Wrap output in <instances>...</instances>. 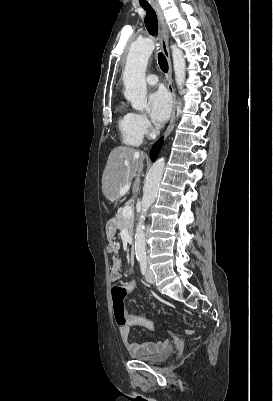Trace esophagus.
<instances>
[{
	"mask_svg": "<svg viewBox=\"0 0 273 401\" xmlns=\"http://www.w3.org/2000/svg\"><path fill=\"white\" fill-rule=\"evenodd\" d=\"M152 6H153V8L156 12L157 18H158L160 48H161L163 55L167 59L168 67H169L168 74H167V82H168L167 88H168V91L172 98V111H171L170 122L166 128L165 135H164V137H167L173 130L174 123H175L176 95H175V92L173 89V84H172V82H173L172 65H171V58H170L169 47H168L169 35H168V31H167L166 21H165L163 12H162L161 8L159 7V5L152 4Z\"/></svg>",
	"mask_w": 273,
	"mask_h": 401,
	"instance_id": "esophagus-1",
	"label": "esophagus"
}]
</instances>
